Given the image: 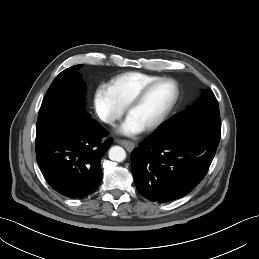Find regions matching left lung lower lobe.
Wrapping results in <instances>:
<instances>
[{
  "mask_svg": "<svg viewBox=\"0 0 259 259\" xmlns=\"http://www.w3.org/2000/svg\"><path fill=\"white\" fill-rule=\"evenodd\" d=\"M220 137V124L192 122L164 137L146 138L131 153L138 192L159 203L188 194L207 174Z\"/></svg>",
  "mask_w": 259,
  "mask_h": 259,
  "instance_id": "1",
  "label": "left lung lower lobe"
}]
</instances>
